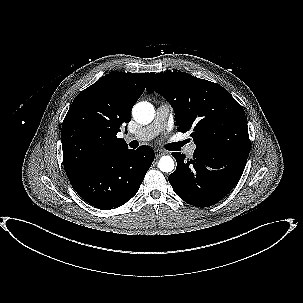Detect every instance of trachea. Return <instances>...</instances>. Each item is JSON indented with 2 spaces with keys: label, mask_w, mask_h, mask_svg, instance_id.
<instances>
[{
  "label": "trachea",
  "mask_w": 303,
  "mask_h": 303,
  "mask_svg": "<svg viewBox=\"0 0 303 303\" xmlns=\"http://www.w3.org/2000/svg\"><path fill=\"white\" fill-rule=\"evenodd\" d=\"M182 145H183V142L173 144V146H175V147H181Z\"/></svg>",
  "instance_id": "obj_1"
}]
</instances>
